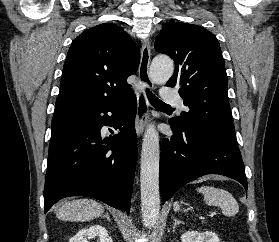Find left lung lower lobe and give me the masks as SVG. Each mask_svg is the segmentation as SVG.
<instances>
[{"label": "left lung lower lobe", "instance_id": "left-lung-lower-lobe-1", "mask_svg": "<svg viewBox=\"0 0 279 242\" xmlns=\"http://www.w3.org/2000/svg\"><path fill=\"white\" fill-rule=\"evenodd\" d=\"M173 136L165 139L160 155V196L171 198L184 184L206 174H220L247 190L245 166L235 142L211 133L183 131L170 121Z\"/></svg>", "mask_w": 279, "mask_h": 242}]
</instances>
